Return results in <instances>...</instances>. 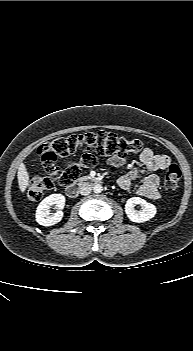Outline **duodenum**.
<instances>
[{
	"mask_svg": "<svg viewBox=\"0 0 193 351\" xmlns=\"http://www.w3.org/2000/svg\"><path fill=\"white\" fill-rule=\"evenodd\" d=\"M101 181V179L99 177H95V176H82L76 183L68 186L66 188V194L71 197L74 198L78 195L79 189L88 184V183H92V184H97Z\"/></svg>",
	"mask_w": 193,
	"mask_h": 351,
	"instance_id": "obj_1",
	"label": "duodenum"
}]
</instances>
